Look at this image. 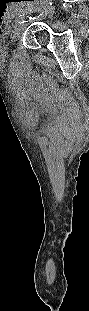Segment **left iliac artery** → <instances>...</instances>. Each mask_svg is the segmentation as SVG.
Instances as JSON below:
<instances>
[{
    "mask_svg": "<svg viewBox=\"0 0 89 311\" xmlns=\"http://www.w3.org/2000/svg\"><path fill=\"white\" fill-rule=\"evenodd\" d=\"M27 16L25 15H21L19 16V18L16 20V22H18L19 24H23L24 22H26Z\"/></svg>",
    "mask_w": 89,
    "mask_h": 311,
    "instance_id": "obj_1",
    "label": "left iliac artery"
}]
</instances>
